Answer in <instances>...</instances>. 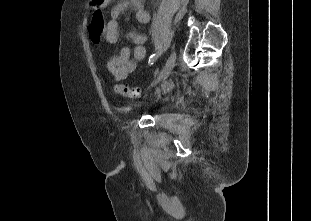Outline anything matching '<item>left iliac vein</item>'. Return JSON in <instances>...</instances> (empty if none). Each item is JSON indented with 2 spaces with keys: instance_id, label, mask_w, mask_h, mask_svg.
<instances>
[{
  "instance_id": "obj_1",
  "label": "left iliac vein",
  "mask_w": 311,
  "mask_h": 221,
  "mask_svg": "<svg viewBox=\"0 0 311 221\" xmlns=\"http://www.w3.org/2000/svg\"><path fill=\"white\" fill-rule=\"evenodd\" d=\"M175 62H176V52L173 51L170 54L169 58L167 59L165 66L163 67L159 75L157 76L156 80L153 82L152 86L160 83L170 74V72L175 66Z\"/></svg>"
}]
</instances>
